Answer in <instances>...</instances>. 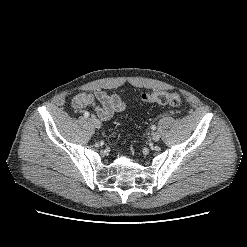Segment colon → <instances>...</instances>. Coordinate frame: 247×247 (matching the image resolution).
Instances as JSON below:
<instances>
[{
	"label": "colon",
	"mask_w": 247,
	"mask_h": 247,
	"mask_svg": "<svg viewBox=\"0 0 247 247\" xmlns=\"http://www.w3.org/2000/svg\"><path fill=\"white\" fill-rule=\"evenodd\" d=\"M142 100L145 103H156L172 107H177L182 102L179 94L167 91H154L150 93H144L142 95ZM127 136L130 137L129 134Z\"/></svg>",
	"instance_id": "5ec220e1"
}]
</instances>
